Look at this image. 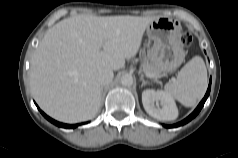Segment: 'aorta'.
Instances as JSON below:
<instances>
[{"instance_id": "aorta-1", "label": "aorta", "mask_w": 238, "mask_h": 158, "mask_svg": "<svg viewBox=\"0 0 238 158\" xmlns=\"http://www.w3.org/2000/svg\"><path fill=\"white\" fill-rule=\"evenodd\" d=\"M121 84H122L123 86H127V87L131 86V85L133 84V78H132V76H131V75H128V74L122 76V78H121Z\"/></svg>"}]
</instances>
